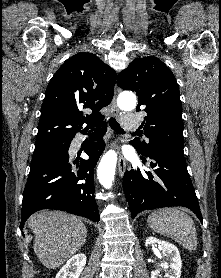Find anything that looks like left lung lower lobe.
<instances>
[{
  "label": "left lung lower lobe",
  "mask_w": 221,
  "mask_h": 278,
  "mask_svg": "<svg viewBox=\"0 0 221 278\" xmlns=\"http://www.w3.org/2000/svg\"><path fill=\"white\" fill-rule=\"evenodd\" d=\"M140 154V153H139ZM142 162L149 157V170L132 169L123 177V189L132 218L147 209L183 206L191 209L202 222L182 147L158 146L147 155L140 154Z\"/></svg>",
  "instance_id": "0a47b994"
}]
</instances>
